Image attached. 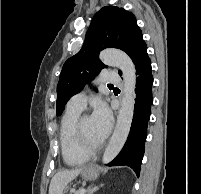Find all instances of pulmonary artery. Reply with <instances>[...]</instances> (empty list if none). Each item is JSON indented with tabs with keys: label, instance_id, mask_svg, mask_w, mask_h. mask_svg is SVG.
Segmentation results:
<instances>
[{
	"label": "pulmonary artery",
	"instance_id": "pulmonary-artery-1",
	"mask_svg": "<svg viewBox=\"0 0 201 194\" xmlns=\"http://www.w3.org/2000/svg\"><path fill=\"white\" fill-rule=\"evenodd\" d=\"M100 82L105 84H119L121 77L114 71L104 72L100 77ZM87 101L85 92H80L70 98L68 106L74 109L83 110Z\"/></svg>",
	"mask_w": 201,
	"mask_h": 194
}]
</instances>
